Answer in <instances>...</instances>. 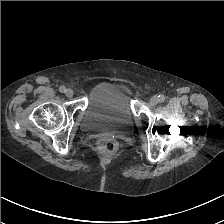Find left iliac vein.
<instances>
[{
  "mask_svg": "<svg viewBox=\"0 0 224 224\" xmlns=\"http://www.w3.org/2000/svg\"><path fill=\"white\" fill-rule=\"evenodd\" d=\"M150 102H151V104H153V105H156V104H158L160 101H159V97L158 96H153L151 99H150Z\"/></svg>",
  "mask_w": 224,
  "mask_h": 224,
  "instance_id": "4c4485c4",
  "label": "left iliac vein"
}]
</instances>
